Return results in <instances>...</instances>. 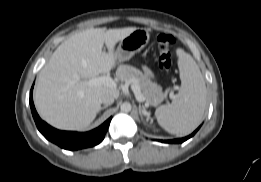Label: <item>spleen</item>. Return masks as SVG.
<instances>
[{"instance_id":"obj_1","label":"spleen","mask_w":261,"mask_h":182,"mask_svg":"<svg viewBox=\"0 0 261 182\" xmlns=\"http://www.w3.org/2000/svg\"><path fill=\"white\" fill-rule=\"evenodd\" d=\"M181 86L176 98L155 111L158 124L176 135L191 133L201 122L206 105L207 91L203 75L192 56L177 50Z\"/></svg>"}]
</instances>
